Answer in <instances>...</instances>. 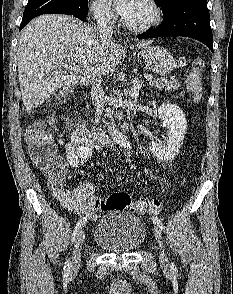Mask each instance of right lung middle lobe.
<instances>
[{
  "label": "right lung middle lobe",
  "instance_id": "right-lung-middle-lobe-1",
  "mask_svg": "<svg viewBox=\"0 0 233 294\" xmlns=\"http://www.w3.org/2000/svg\"><path fill=\"white\" fill-rule=\"evenodd\" d=\"M87 6L88 0H29L22 22L42 14H71Z\"/></svg>",
  "mask_w": 233,
  "mask_h": 294
}]
</instances>
